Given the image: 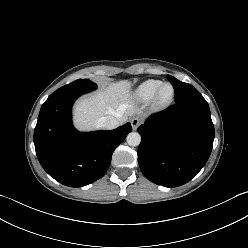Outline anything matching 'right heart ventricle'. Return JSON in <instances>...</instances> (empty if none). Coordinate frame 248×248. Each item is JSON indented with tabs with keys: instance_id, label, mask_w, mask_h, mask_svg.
Segmentation results:
<instances>
[{
	"instance_id": "1",
	"label": "right heart ventricle",
	"mask_w": 248,
	"mask_h": 248,
	"mask_svg": "<svg viewBox=\"0 0 248 248\" xmlns=\"http://www.w3.org/2000/svg\"><path fill=\"white\" fill-rule=\"evenodd\" d=\"M161 84L162 82L160 80H145L133 90L132 97L138 102H147L152 99Z\"/></svg>"
}]
</instances>
